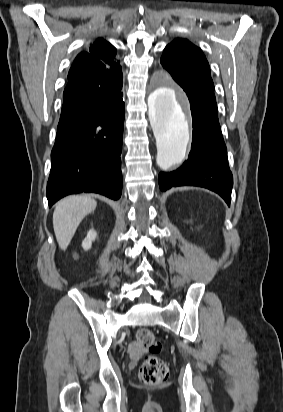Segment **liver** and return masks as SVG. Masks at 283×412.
I'll return each mask as SVG.
<instances>
[{
	"instance_id": "liver-1",
	"label": "liver",
	"mask_w": 283,
	"mask_h": 412,
	"mask_svg": "<svg viewBox=\"0 0 283 412\" xmlns=\"http://www.w3.org/2000/svg\"><path fill=\"white\" fill-rule=\"evenodd\" d=\"M96 206L97 202L89 196H71L56 205L53 227L61 250L67 249L81 221Z\"/></svg>"
}]
</instances>
